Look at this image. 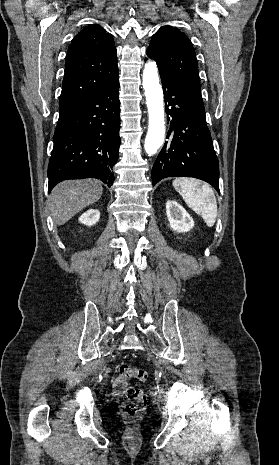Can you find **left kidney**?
<instances>
[{
  "instance_id": "1",
  "label": "left kidney",
  "mask_w": 279,
  "mask_h": 465,
  "mask_svg": "<svg viewBox=\"0 0 279 465\" xmlns=\"http://www.w3.org/2000/svg\"><path fill=\"white\" fill-rule=\"evenodd\" d=\"M166 215L170 227L176 232H188L194 226V221L188 212L176 201L168 200Z\"/></svg>"
}]
</instances>
